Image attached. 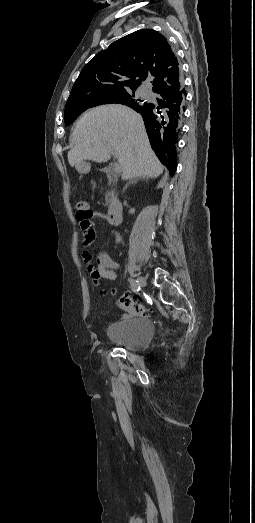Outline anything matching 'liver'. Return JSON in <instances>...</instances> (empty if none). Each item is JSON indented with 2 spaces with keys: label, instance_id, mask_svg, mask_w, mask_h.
<instances>
[{
  "label": "liver",
  "instance_id": "obj_1",
  "mask_svg": "<svg viewBox=\"0 0 255 523\" xmlns=\"http://www.w3.org/2000/svg\"><path fill=\"white\" fill-rule=\"evenodd\" d=\"M69 142L73 148L68 152V162L78 172L85 168L83 160L108 162L113 152L122 180L163 174L164 166L150 146L142 116L127 106L92 108L76 122Z\"/></svg>",
  "mask_w": 255,
  "mask_h": 523
}]
</instances>
